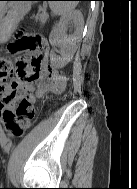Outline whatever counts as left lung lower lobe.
Masks as SVG:
<instances>
[{
    "label": "left lung lower lobe",
    "mask_w": 137,
    "mask_h": 189,
    "mask_svg": "<svg viewBox=\"0 0 137 189\" xmlns=\"http://www.w3.org/2000/svg\"><path fill=\"white\" fill-rule=\"evenodd\" d=\"M77 1H90V0H77Z\"/></svg>",
    "instance_id": "0a47b994"
}]
</instances>
